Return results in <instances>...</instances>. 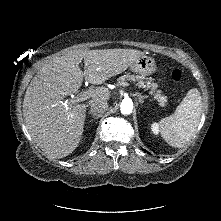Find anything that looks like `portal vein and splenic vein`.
<instances>
[{"mask_svg":"<svg viewBox=\"0 0 221 221\" xmlns=\"http://www.w3.org/2000/svg\"><path fill=\"white\" fill-rule=\"evenodd\" d=\"M121 86H129V83L127 82H120L119 83ZM91 95V91H85V92H81L77 97H76V100L75 102H80V101H85L89 98V96Z\"/></svg>","mask_w":221,"mask_h":221,"instance_id":"obj_1","label":"portal vein and splenic vein"}]
</instances>
